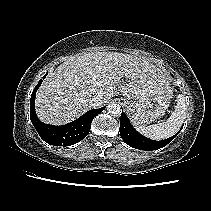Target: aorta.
Masks as SVG:
<instances>
[{"label":"aorta","instance_id":"762f6f07","mask_svg":"<svg viewBox=\"0 0 211 211\" xmlns=\"http://www.w3.org/2000/svg\"><path fill=\"white\" fill-rule=\"evenodd\" d=\"M107 111L111 116L118 117L122 110L119 104L112 103L107 106Z\"/></svg>","mask_w":211,"mask_h":211}]
</instances>
